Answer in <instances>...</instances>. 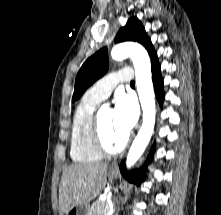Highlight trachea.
<instances>
[{"label": "trachea", "mask_w": 221, "mask_h": 215, "mask_svg": "<svg viewBox=\"0 0 221 215\" xmlns=\"http://www.w3.org/2000/svg\"><path fill=\"white\" fill-rule=\"evenodd\" d=\"M130 84H131V85H135V82H134V81H132Z\"/></svg>", "instance_id": "obj_1"}]
</instances>
